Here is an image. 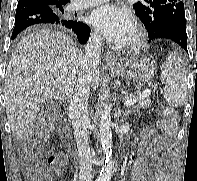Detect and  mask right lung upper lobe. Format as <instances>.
<instances>
[{"mask_svg":"<svg viewBox=\"0 0 197 181\" xmlns=\"http://www.w3.org/2000/svg\"><path fill=\"white\" fill-rule=\"evenodd\" d=\"M35 1L43 2L49 6L65 5L68 2H70V0H35Z\"/></svg>","mask_w":197,"mask_h":181,"instance_id":"obj_1","label":"right lung upper lobe"}]
</instances>
